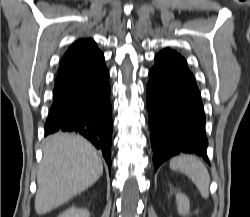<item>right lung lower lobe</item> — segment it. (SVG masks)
<instances>
[{
    "instance_id": "right-lung-lower-lobe-1",
    "label": "right lung lower lobe",
    "mask_w": 250,
    "mask_h": 217,
    "mask_svg": "<svg viewBox=\"0 0 250 217\" xmlns=\"http://www.w3.org/2000/svg\"><path fill=\"white\" fill-rule=\"evenodd\" d=\"M109 72L100 55L83 70L57 80L45 123V136L56 132L83 135L111 167L112 108Z\"/></svg>"
}]
</instances>
